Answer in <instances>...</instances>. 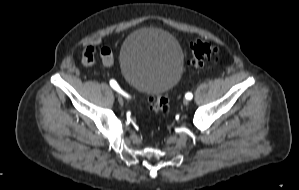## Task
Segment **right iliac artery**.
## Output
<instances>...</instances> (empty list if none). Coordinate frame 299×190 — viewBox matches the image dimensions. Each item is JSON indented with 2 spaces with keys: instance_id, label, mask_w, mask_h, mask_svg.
<instances>
[{
  "instance_id": "obj_1",
  "label": "right iliac artery",
  "mask_w": 299,
  "mask_h": 190,
  "mask_svg": "<svg viewBox=\"0 0 299 190\" xmlns=\"http://www.w3.org/2000/svg\"><path fill=\"white\" fill-rule=\"evenodd\" d=\"M110 85L117 92L121 93L124 96H128V94H126L124 91L121 90V88L119 87V85L117 84V82L115 80H113V79L110 80Z\"/></svg>"
}]
</instances>
